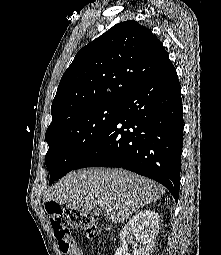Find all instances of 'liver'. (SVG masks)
I'll return each instance as SVG.
<instances>
[{
  "instance_id": "obj_1",
  "label": "liver",
  "mask_w": 221,
  "mask_h": 255,
  "mask_svg": "<svg viewBox=\"0 0 221 255\" xmlns=\"http://www.w3.org/2000/svg\"><path fill=\"white\" fill-rule=\"evenodd\" d=\"M164 193L160 184L133 172L89 168L68 173L45 192L43 200L83 213L99 204L105 217L117 224Z\"/></svg>"
}]
</instances>
